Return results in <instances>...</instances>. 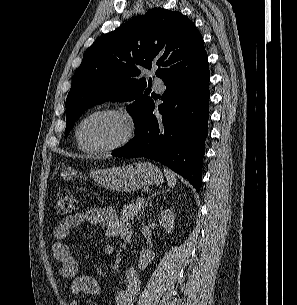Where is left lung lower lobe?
<instances>
[{"label": "left lung lower lobe", "instance_id": "0a47b994", "mask_svg": "<svg viewBox=\"0 0 297 305\" xmlns=\"http://www.w3.org/2000/svg\"><path fill=\"white\" fill-rule=\"evenodd\" d=\"M160 116L151 100L137 120L135 136L112 153L117 157H147L163 163L196 188L201 187L205 139L208 135V68L177 70L164 79Z\"/></svg>", "mask_w": 297, "mask_h": 305}]
</instances>
